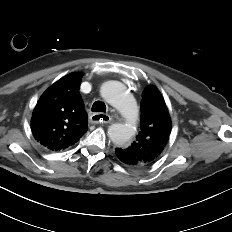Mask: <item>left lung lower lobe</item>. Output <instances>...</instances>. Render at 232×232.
<instances>
[{"mask_svg":"<svg viewBox=\"0 0 232 232\" xmlns=\"http://www.w3.org/2000/svg\"><path fill=\"white\" fill-rule=\"evenodd\" d=\"M116 157L121 161L123 164L133 167L132 165L135 163L129 156H127L121 148L115 149Z\"/></svg>","mask_w":232,"mask_h":232,"instance_id":"obj_1","label":"left lung lower lobe"}]
</instances>
